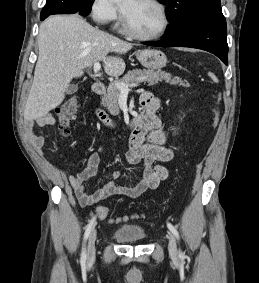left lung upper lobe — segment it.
Listing matches in <instances>:
<instances>
[{
  "mask_svg": "<svg viewBox=\"0 0 259 283\" xmlns=\"http://www.w3.org/2000/svg\"><path fill=\"white\" fill-rule=\"evenodd\" d=\"M166 5L170 26L166 33L184 29L197 20L221 11L220 0H158Z\"/></svg>",
  "mask_w": 259,
  "mask_h": 283,
  "instance_id": "5c2ea615",
  "label": "left lung upper lobe"
}]
</instances>
